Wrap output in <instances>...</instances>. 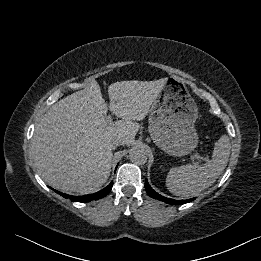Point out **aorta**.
<instances>
[{"instance_id": "1", "label": "aorta", "mask_w": 261, "mask_h": 261, "mask_svg": "<svg viewBox=\"0 0 261 261\" xmlns=\"http://www.w3.org/2000/svg\"><path fill=\"white\" fill-rule=\"evenodd\" d=\"M130 160L137 165H142L147 162V153L141 147H134L129 153Z\"/></svg>"}]
</instances>
